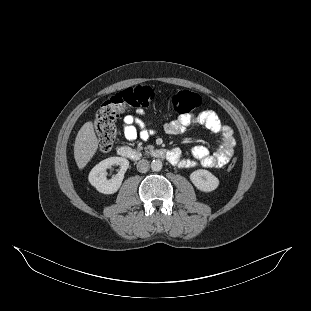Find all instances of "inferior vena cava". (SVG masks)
Listing matches in <instances>:
<instances>
[{"label": "inferior vena cava", "instance_id": "obj_1", "mask_svg": "<svg viewBox=\"0 0 311 311\" xmlns=\"http://www.w3.org/2000/svg\"><path fill=\"white\" fill-rule=\"evenodd\" d=\"M150 168V163L146 159H142L137 163V170L141 173H146Z\"/></svg>", "mask_w": 311, "mask_h": 311}]
</instances>
